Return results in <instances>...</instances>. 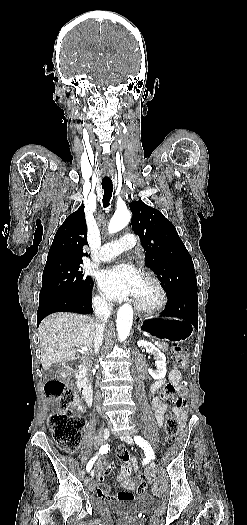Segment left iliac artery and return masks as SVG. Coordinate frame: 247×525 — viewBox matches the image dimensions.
Masks as SVG:
<instances>
[{
  "label": "left iliac artery",
  "instance_id": "44dca946",
  "mask_svg": "<svg viewBox=\"0 0 247 525\" xmlns=\"http://www.w3.org/2000/svg\"><path fill=\"white\" fill-rule=\"evenodd\" d=\"M134 441L138 446H140L143 449L145 455L148 458L155 459L154 451L147 441H145L141 436H135Z\"/></svg>",
  "mask_w": 247,
  "mask_h": 525
}]
</instances>
